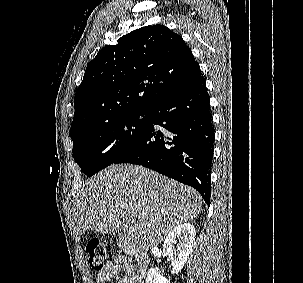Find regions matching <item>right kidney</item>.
I'll use <instances>...</instances> for the list:
<instances>
[{"mask_svg":"<svg viewBox=\"0 0 303 283\" xmlns=\"http://www.w3.org/2000/svg\"><path fill=\"white\" fill-rule=\"evenodd\" d=\"M196 230L189 223H182L175 227L163 242V250L172 263V274H178L186 264L192 252ZM178 242V243H177ZM146 283H170V280L161 276L154 268L148 271Z\"/></svg>","mask_w":303,"mask_h":283,"instance_id":"right-kidney-1","label":"right kidney"}]
</instances>
